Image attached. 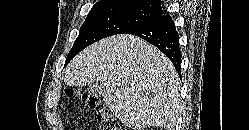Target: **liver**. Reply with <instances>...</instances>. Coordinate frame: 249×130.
<instances>
[{"label": "liver", "instance_id": "liver-1", "mask_svg": "<svg viewBox=\"0 0 249 130\" xmlns=\"http://www.w3.org/2000/svg\"><path fill=\"white\" fill-rule=\"evenodd\" d=\"M64 82H99L104 102L132 130H174L180 111V79L157 48L128 34L105 38L80 52L66 67Z\"/></svg>", "mask_w": 249, "mask_h": 130}]
</instances>
